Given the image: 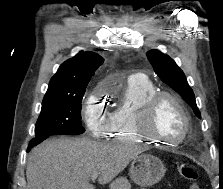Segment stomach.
Listing matches in <instances>:
<instances>
[{"instance_id": "stomach-1", "label": "stomach", "mask_w": 223, "mask_h": 189, "mask_svg": "<svg viewBox=\"0 0 223 189\" xmlns=\"http://www.w3.org/2000/svg\"><path fill=\"white\" fill-rule=\"evenodd\" d=\"M163 162L150 154L136 156L130 165V178L138 185L150 186L157 183L165 174Z\"/></svg>"}]
</instances>
